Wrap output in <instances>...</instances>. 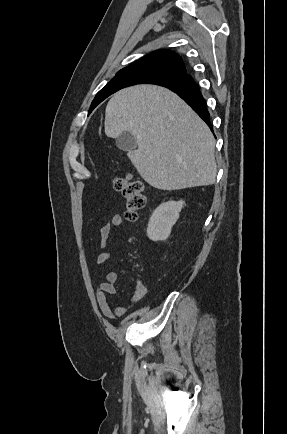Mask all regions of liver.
I'll use <instances>...</instances> for the list:
<instances>
[{
	"instance_id": "1",
	"label": "liver",
	"mask_w": 287,
	"mask_h": 434,
	"mask_svg": "<svg viewBox=\"0 0 287 434\" xmlns=\"http://www.w3.org/2000/svg\"><path fill=\"white\" fill-rule=\"evenodd\" d=\"M136 138L129 158L140 176L160 190L215 183V139L204 121L174 92L138 85L115 93L105 112V134Z\"/></svg>"
}]
</instances>
